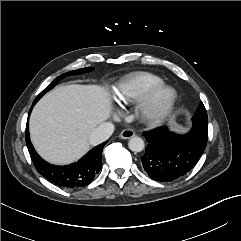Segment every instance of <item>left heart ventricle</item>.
<instances>
[{
    "label": "left heart ventricle",
    "mask_w": 241,
    "mask_h": 241,
    "mask_svg": "<svg viewBox=\"0 0 241 241\" xmlns=\"http://www.w3.org/2000/svg\"><path fill=\"white\" fill-rule=\"evenodd\" d=\"M169 97H170V93L168 91L163 92L158 99L157 106L158 107L163 106L167 102Z\"/></svg>",
    "instance_id": "1"
}]
</instances>
